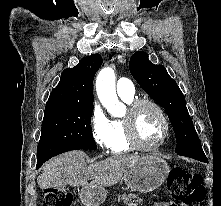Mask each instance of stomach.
Returning a JSON list of instances; mask_svg holds the SVG:
<instances>
[{"label":"stomach","instance_id":"obj_1","mask_svg":"<svg viewBox=\"0 0 221 206\" xmlns=\"http://www.w3.org/2000/svg\"><path fill=\"white\" fill-rule=\"evenodd\" d=\"M167 163L156 156L141 157L123 176L128 188L141 193L157 189L169 174ZM106 190L102 186L83 187L80 199L85 206H99L106 199Z\"/></svg>","mask_w":221,"mask_h":206}]
</instances>
